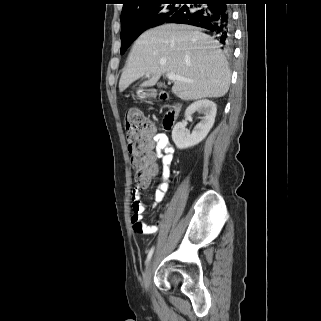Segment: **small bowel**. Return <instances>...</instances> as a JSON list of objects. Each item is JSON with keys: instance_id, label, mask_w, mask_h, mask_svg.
I'll use <instances>...</instances> for the list:
<instances>
[{"instance_id": "obj_1", "label": "small bowel", "mask_w": 321, "mask_h": 321, "mask_svg": "<svg viewBox=\"0 0 321 321\" xmlns=\"http://www.w3.org/2000/svg\"><path fill=\"white\" fill-rule=\"evenodd\" d=\"M174 151V147L168 136L164 133H155L154 128H152L150 137V155L154 172L150 178L140 181L132 192L133 214L131 216V223L134 231L137 233L153 234L158 231L157 225H147L142 221V214L145 211V205L142 202L141 190L147 188L151 182V178L159 172V167L156 163V161L159 160L161 182L156 190L154 206L163 201L170 188V167Z\"/></svg>"}]
</instances>
